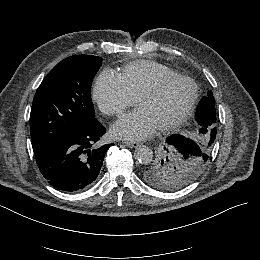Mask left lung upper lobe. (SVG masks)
I'll list each match as a JSON object with an SVG mask.
<instances>
[{
	"instance_id": "left-lung-upper-lobe-1",
	"label": "left lung upper lobe",
	"mask_w": 260,
	"mask_h": 260,
	"mask_svg": "<svg viewBox=\"0 0 260 260\" xmlns=\"http://www.w3.org/2000/svg\"><path fill=\"white\" fill-rule=\"evenodd\" d=\"M205 97L215 104L211 91ZM214 129H216V117L207 127L195 126L184 133L187 138L200 146V153L182 154L166 142L160 147L156 157L142 169L143 179L156 189L167 192L180 190L194 182L212 159ZM177 135L180 134L172 136Z\"/></svg>"
}]
</instances>
